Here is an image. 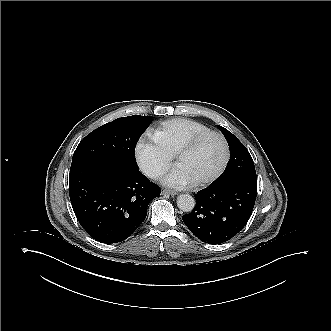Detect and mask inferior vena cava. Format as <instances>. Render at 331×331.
<instances>
[{
  "instance_id": "602c4592",
  "label": "inferior vena cava",
  "mask_w": 331,
  "mask_h": 331,
  "mask_svg": "<svg viewBox=\"0 0 331 331\" xmlns=\"http://www.w3.org/2000/svg\"><path fill=\"white\" fill-rule=\"evenodd\" d=\"M145 174L150 177V178H157L158 176H160L161 170L160 169H156V168H148L145 170Z\"/></svg>"
}]
</instances>
